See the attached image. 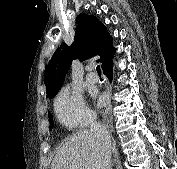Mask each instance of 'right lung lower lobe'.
Returning <instances> with one entry per match:
<instances>
[{
    "mask_svg": "<svg viewBox=\"0 0 177 169\" xmlns=\"http://www.w3.org/2000/svg\"><path fill=\"white\" fill-rule=\"evenodd\" d=\"M103 73L108 77L109 81H111L113 77V64L111 63L103 68Z\"/></svg>",
    "mask_w": 177,
    "mask_h": 169,
    "instance_id": "98d812e1",
    "label": "right lung lower lobe"
}]
</instances>
